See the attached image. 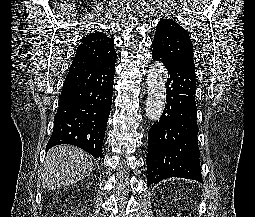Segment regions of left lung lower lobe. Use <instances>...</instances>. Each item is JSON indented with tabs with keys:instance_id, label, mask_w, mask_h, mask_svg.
<instances>
[{
	"instance_id": "1",
	"label": "left lung lower lobe",
	"mask_w": 255,
	"mask_h": 217,
	"mask_svg": "<svg viewBox=\"0 0 255 217\" xmlns=\"http://www.w3.org/2000/svg\"><path fill=\"white\" fill-rule=\"evenodd\" d=\"M153 60L164 63L168 71L165 109L149 129L147 185L180 177L202 182L198 148L196 74L153 49Z\"/></svg>"
}]
</instances>
